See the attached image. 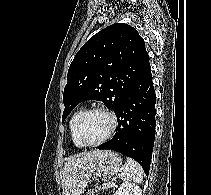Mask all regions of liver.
Returning a JSON list of instances; mask_svg holds the SVG:
<instances>
[{"label":"liver","instance_id":"liver-1","mask_svg":"<svg viewBox=\"0 0 211 195\" xmlns=\"http://www.w3.org/2000/svg\"><path fill=\"white\" fill-rule=\"evenodd\" d=\"M102 151L94 150L68 158L61 172L63 195H82L94 161Z\"/></svg>","mask_w":211,"mask_h":195}]
</instances>
